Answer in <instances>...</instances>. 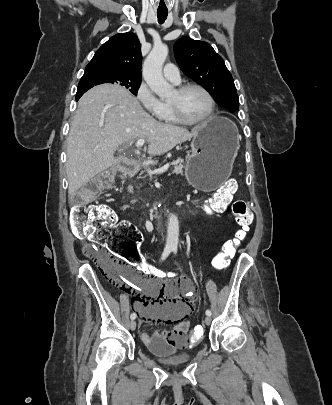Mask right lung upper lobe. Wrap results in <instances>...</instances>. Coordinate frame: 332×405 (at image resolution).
<instances>
[{
    "label": "right lung upper lobe",
    "mask_w": 332,
    "mask_h": 405,
    "mask_svg": "<svg viewBox=\"0 0 332 405\" xmlns=\"http://www.w3.org/2000/svg\"><path fill=\"white\" fill-rule=\"evenodd\" d=\"M110 70L141 78V44L134 33L114 35L96 52L85 72Z\"/></svg>",
    "instance_id": "right-lung-upper-lobe-1"
}]
</instances>
